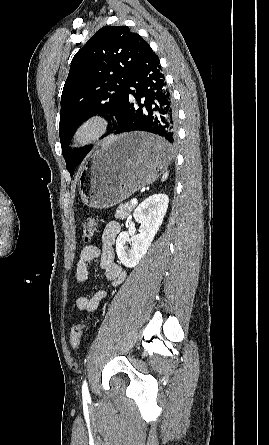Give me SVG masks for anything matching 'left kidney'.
<instances>
[{
	"label": "left kidney",
	"instance_id": "obj_1",
	"mask_svg": "<svg viewBox=\"0 0 269 445\" xmlns=\"http://www.w3.org/2000/svg\"><path fill=\"white\" fill-rule=\"evenodd\" d=\"M168 203L169 198L166 194H154L136 208L133 216L141 223L140 233L130 235L121 232L116 240V253L125 267H135L146 254L163 222ZM126 242L131 245V249H128Z\"/></svg>",
	"mask_w": 269,
	"mask_h": 445
}]
</instances>
